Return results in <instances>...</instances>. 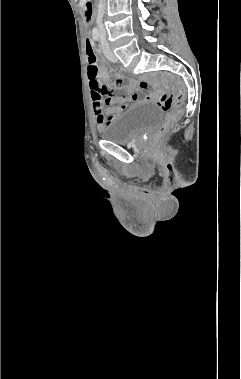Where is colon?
<instances>
[{
  "label": "colon",
  "instance_id": "5ec220e1",
  "mask_svg": "<svg viewBox=\"0 0 241 379\" xmlns=\"http://www.w3.org/2000/svg\"><path fill=\"white\" fill-rule=\"evenodd\" d=\"M86 56H87V69H88V84L90 86V89H95L98 94H104L107 95L110 93L108 89L105 87H101L99 85V82H97V75H98V66H97V58L94 52L93 45L91 42L87 39L86 40ZM185 99V92L184 90H181L176 97H173L168 94H160L156 97L157 104L163 109V110H170L172 108L178 109L184 102ZM180 116L179 110H173L171 111L164 123L161 125V127L157 131V139L163 137L171 128V126L178 120Z\"/></svg>",
  "mask_w": 241,
  "mask_h": 379
}]
</instances>
